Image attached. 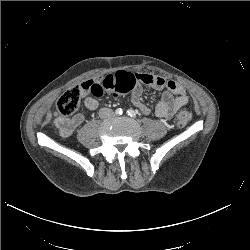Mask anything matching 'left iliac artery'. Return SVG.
Wrapping results in <instances>:
<instances>
[{"instance_id":"44dca946","label":"left iliac artery","mask_w":250,"mask_h":250,"mask_svg":"<svg viewBox=\"0 0 250 250\" xmlns=\"http://www.w3.org/2000/svg\"><path fill=\"white\" fill-rule=\"evenodd\" d=\"M128 116H130L131 118H135L136 117V113L134 110L130 109L127 111Z\"/></svg>"}]
</instances>
